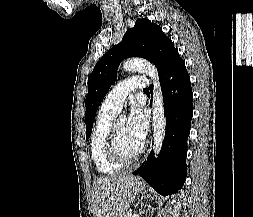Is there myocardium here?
<instances>
[{"mask_svg":"<svg viewBox=\"0 0 253 217\" xmlns=\"http://www.w3.org/2000/svg\"><path fill=\"white\" fill-rule=\"evenodd\" d=\"M105 149H106L107 156L114 163L121 165V166H129V165L136 163L140 159V157L145 149V145L142 144L140 149L137 151V153L134 154L132 157H127V156L123 155L121 153V151L119 149V145H118V135H117L116 123H113L110 127V131L107 136Z\"/></svg>","mask_w":253,"mask_h":217,"instance_id":"f54148a6","label":"myocardium"}]
</instances>
